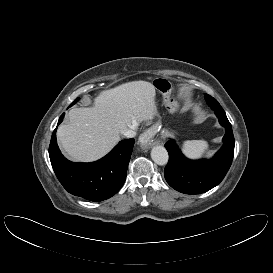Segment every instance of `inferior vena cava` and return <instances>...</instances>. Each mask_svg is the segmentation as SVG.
<instances>
[{
	"mask_svg": "<svg viewBox=\"0 0 273 273\" xmlns=\"http://www.w3.org/2000/svg\"><path fill=\"white\" fill-rule=\"evenodd\" d=\"M135 129H136V127H132V128H130V129H126L125 131H123L122 134H123L126 138H133V137H135V135H136Z\"/></svg>",
	"mask_w": 273,
	"mask_h": 273,
	"instance_id": "602c4592",
	"label": "inferior vena cava"
}]
</instances>
